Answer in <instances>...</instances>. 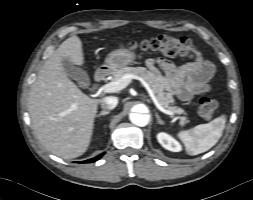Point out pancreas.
Wrapping results in <instances>:
<instances>
[{
    "label": "pancreas",
    "mask_w": 253,
    "mask_h": 200,
    "mask_svg": "<svg viewBox=\"0 0 253 200\" xmlns=\"http://www.w3.org/2000/svg\"><path fill=\"white\" fill-rule=\"evenodd\" d=\"M132 74L142 77L151 87L161 106L174 114H185L182 108L172 106L174 98L171 92H166L168 81L158 70H147L145 67H124L113 72V81H116L125 75ZM180 125L184 126L188 121L186 117H179Z\"/></svg>",
    "instance_id": "pancreas-1"
}]
</instances>
